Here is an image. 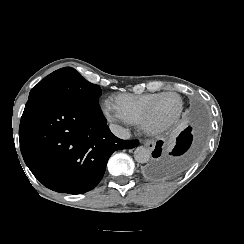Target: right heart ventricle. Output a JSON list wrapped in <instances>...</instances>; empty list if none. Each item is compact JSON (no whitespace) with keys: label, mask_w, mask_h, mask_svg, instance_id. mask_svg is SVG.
Listing matches in <instances>:
<instances>
[{"label":"right heart ventricle","mask_w":244,"mask_h":244,"mask_svg":"<svg viewBox=\"0 0 244 244\" xmlns=\"http://www.w3.org/2000/svg\"><path fill=\"white\" fill-rule=\"evenodd\" d=\"M154 95H120L113 100V106L117 111L126 109V121L143 124L149 118L148 105Z\"/></svg>","instance_id":"right-heart-ventricle-1"}]
</instances>
